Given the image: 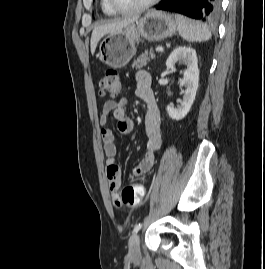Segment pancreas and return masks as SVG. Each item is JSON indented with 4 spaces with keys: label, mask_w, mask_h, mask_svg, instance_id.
<instances>
[{
    "label": "pancreas",
    "mask_w": 265,
    "mask_h": 269,
    "mask_svg": "<svg viewBox=\"0 0 265 269\" xmlns=\"http://www.w3.org/2000/svg\"><path fill=\"white\" fill-rule=\"evenodd\" d=\"M154 54L152 49L150 50V52H145L142 55H140L133 63V67H136L137 69H140L144 66L147 65V63L149 62L150 58H153Z\"/></svg>",
    "instance_id": "pancreas-1"
}]
</instances>
